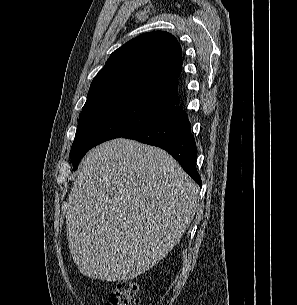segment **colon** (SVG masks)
Masks as SVG:
<instances>
[{"instance_id": "obj_1", "label": "colon", "mask_w": 297, "mask_h": 305, "mask_svg": "<svg viewBox=\"0 0 297 305\" xmlns=\"http://www.w3.org/2000/svg\"><path fill=\"white\" fill-rule=\"evenodd\" d=\"M106 305H141L138 286L129 280L121 281L110 293Z\"/></svg>"}]
</instances>
